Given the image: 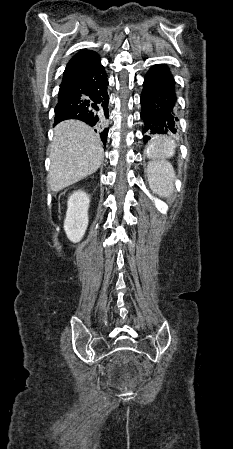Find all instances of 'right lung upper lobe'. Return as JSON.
Segmentation results:
<instances>
[{"mask_svg":"<svg viewBox=\"0 0 233 449\" xmlns=\"http://www.w3.org/2000/svg\"><path fill=\"white\" fill-rule=\"evenodd\" d=\"M100 61L98 53L91 50H81L76 53L69 63L63 74V80L61 84L74 81L89 70H91L95 64Z\"/></svg>","mask_w":233,"mask_h":449,"instance_id":"1","label":"right lung upper lobe"}]
</instances>
